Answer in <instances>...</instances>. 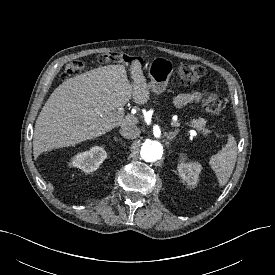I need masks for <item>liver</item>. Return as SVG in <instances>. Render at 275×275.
I'll return each instance as SVG.
<instances>
[{"instance_id":"6515ba94","label":"liver","mask_w":275,"mask_h":275,"mask_svg":"<svg viewBox=\"0 0 275 275\" xmlns=\"http://www.w3.org/2000/svg\"><path fill=\"white\" fill-rule=\"evenodd\" d=\"M130 72L132 84L123 65L99 67L60 84L36 120L34 157L97 138L117 126L137 124L138 118L130 114L116 118V108L125 106L131 97L139 105L149 100L139 60L133 61Z\"/></svg>"}]
</instances>
